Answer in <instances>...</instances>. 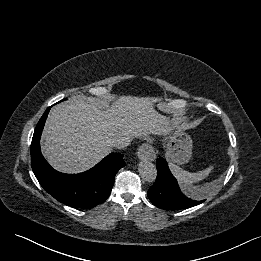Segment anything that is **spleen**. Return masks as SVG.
<instances>
[{"label":"spleen","instance_id":"obj_1","mask_svg":"<svg viewBox=\"0 0 261 261\" xmlns=\"http://www.w3.org/2000/svg\"><path fill=\"white\" fill-rule=\"evenodd\" d=\"M169 167L171 169V172L173 173V175L176 177V179L180 184H192L195 182H199L204 178H206L213 169V166H210L209 168L202 170L200 172L191 173L181 169L179 166L173 163H169Z\"/></svg>","mask_w":261,"mask_h":261}]
</instances>
